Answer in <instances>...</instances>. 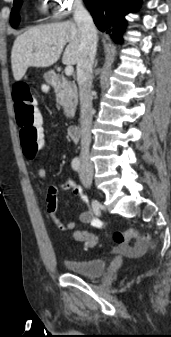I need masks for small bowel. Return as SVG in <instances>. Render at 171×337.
<instances>
[{
  "label": "small bowel",
  "instance_id": "1",
  "mask_svg": "<svg viewBox=\"0 0 171 337\" xmlns=\"http://www.w3.org/2000/svg\"><path fill=\"white\" fill-rule=\"evenodd\" d=\"M57 137H58V134L56 133L46 135L45 144L47 143L48 140L54 139ZM37 173H38L39 178L41 179H45L47 177V170L45 166L43 165H40L38 167ZM59 191H70L74 196L81 199L84 203L88 202V197L84 193L83 189L80 186L76 185L71 180H67L60 184H54V185L49 186L48 192L46 195L47 212L59 230L63 232H70L74 230L77 222L76 221L63 222L60 218H58L56 213L58 209L57 193ZM78 220L84 224H88L95 228H101L102 226V222L97 217L96 212L89 208L79 214ZM74 239L77 240L75 237Z\"/></svg>",
  "mask_w": 171,
  "mask_h": 337
}]
</instances>
